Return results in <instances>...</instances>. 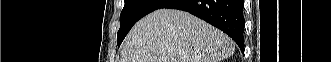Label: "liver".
I'll use <instances>...</instances> for the list:
<instances>
[{
	"label": "liver",
	"instance_id": "liver-1",
	"mask_svg": "<svg viewBox=\"0 0 331 62\" xmlns=\"http://www.w3.org/2000/svg\"><path fill=\"white\" fill-rule=\"evenodd\" d=\"M234 50L230 37L203 20L180 10L160 9L131 29L120 62H221Z\"/></svg>",
	"mask_w": 331,
	"mask_h": 62
}]
</instances>
